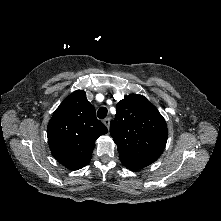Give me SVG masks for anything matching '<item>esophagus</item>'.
Segmentation results:
<instances>
[{
  "mask_svg": "<svg viewBox=\"0 0 221 221\" xmlns=\"http://www.w3.org/2000/svg\"><path fill=\"white\" fill-rule=\"evenodd\" d=\"M103 123L105 124V126H106L107 128H109L110 118H105V119L103 120Z\"/></svg>",
  "mask_w": 221,
  "mask_h": 221,
  "instance_id": "obj_1",
  "label": "esophagus"
}]
</instances>
